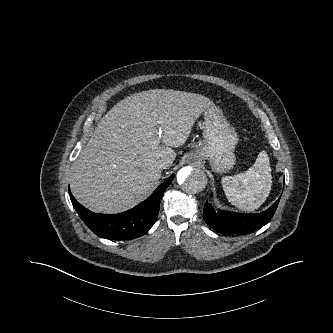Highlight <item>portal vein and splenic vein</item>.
Returning <instances> with one entry per match:
<instances>
[{
  "mask_svg": "<svg viewBox=\"0 0 333 333\" xmlns=\"http://www.w3.org/2000/svg\"><path fill=\"white\" fill-rule=\"evenodd\" d=\"M158 134H159V137H161V135H162V131L159 130Z\"/></svg>",
  "mask_w": 333,
  "mask_h": 333,
  "instance_id": "portal-vein-and-splenic-vein-1",
  "label": "portal vein and splenic vein"
}]
</instances>
